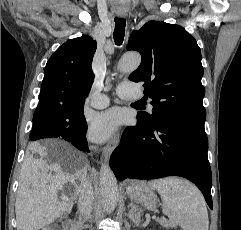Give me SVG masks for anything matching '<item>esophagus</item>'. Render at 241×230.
<instances>
[{
    "label": "esophagus",
    "instance_id": "1",
    "mask_svg": "<svg viewBox=\"0 0 241 230\" xmlns=\"http://www.w3.org/2000/svg\"><path fill=\"white\" fill-rule=\"evenodd\" d=\"M118 16L120 18H125L126 14L122 13V14H118ZM119 138H120V134L118 133L111 139V141L103 149V156H104L105 160H107L109 158V156L111 155L113 150L116 148Z\"/></svg>",
    "mask_w": 241,
    "mask_h": 230
}]
</instances>
